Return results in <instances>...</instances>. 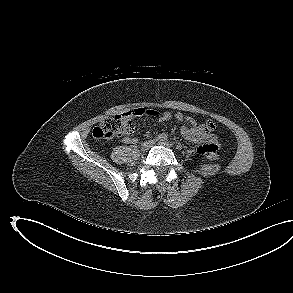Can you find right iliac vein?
I'll use <instances>...</instances> for the list:
<instances>
[{"mask_svg": "<svg viewBox=\"0 0 293 293\" xmlns=\"http://www.w3.org/2000/svg\"><path fill=\"white\" fill-rule=\"evenodd\" d=\"M153 144H154V142H153L152 140L145 141V142L142 144L141 149H142L143 151L148 150Z\"/></svg>", "mask_w": 293, "mask_h": 293, "instance_id": "obj_1", "label": "right iliac vein"}]
</instances>
